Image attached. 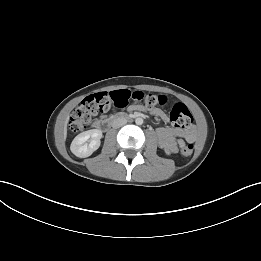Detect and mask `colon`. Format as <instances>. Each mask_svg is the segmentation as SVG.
<instances>
[{"label": "colon", "mask_w": 261, "mask_h": 261, "mask_svg": "<svg viewBox=\"0 0 261 261\" xmlns=\"http://www.w3.org/2000/svg\"><path fill=\"white\" fill-rule=\"evenodd\" d=\"M133 101L138 106L152 109L156 106H164L167 99L163 95L144 94L140 91L115 90L101 92L86 97L74 110L69 121V131L76 134L84 130L92 116L106 112L111 106L125 108ZM172 123L179 127H189L193 123V117L189 109L182 103H174L170 110ZM194 145L189 142L181 147V154L189 157L193 153Z\"/></svg>", "instance_id": "colon-1"}]
</instances>
